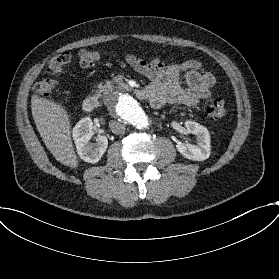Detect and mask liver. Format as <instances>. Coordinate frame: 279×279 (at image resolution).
<instances>
[{
  "label": "liver",
  "mask_w": 279,
  "mask_h": 279,
  "mask_svg": "<svg viewBox=\"0 0 279 279\" xmlns=\"http://www.w3.org/2000/svg\"><path fill=\"white\" fill-rule=\"evenodd\" d=\"M32 115L40 136L53 157L61 164L77 169L79 159L72 140L70 114L61 103L33 94Z\"/></svg>",
  "instance_id": "1"
}]
</instances>
